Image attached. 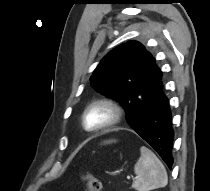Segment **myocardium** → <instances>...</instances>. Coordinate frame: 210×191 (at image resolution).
Here are the masks:
<instances>
[{"label":"myocardium","instance_id":"myocardium-1","mask_svg":"<svg viewBox=\"0 0 210 191\" xmlns=\"http://www.w3.org/2000/svg\"><path fill=\"white\" fill-rule=\"evenodd\" d=\"M98 106H103L107 108L111 112V118L110 120L105 123L104 125L97 127V128H87L85 125V117L87 112ZM124 118V108L123 106L116 100L109 98V97H103V98H98L91 103H89L85 109L83 110L81 114V126L82 128L88 132V133H100L104 132L107 130H110L116 126H118Z\"/></svg>","mask_w":210,"mask_h":191}]
</instances>
